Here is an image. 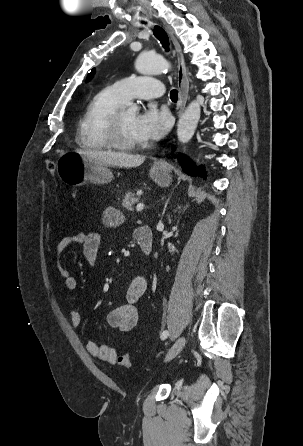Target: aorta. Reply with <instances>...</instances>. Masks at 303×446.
<instances>
[{"label": "aorta", "mask_w": 303, "mask_h": 446, "mask_svg": "<svg viewBox=\"0 0 303 446\" xmlns=\"http://www.w3.org/2000/svg\"><path fill=\"white\" fill-rule=\"evenodd\" d=\"M167 60L160 56H152L148 53H142L135 62L136 70L144 75L161 74L169 69ZM202 100L192 101L181 115L178 127L177 137L181 143H187L191 140L200 120ZM138 110L136 105H131L129 111L135 113Z\"/></svg>", "instance_id": "762f6f07"}]
</instances>
